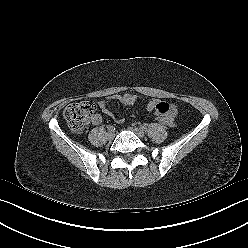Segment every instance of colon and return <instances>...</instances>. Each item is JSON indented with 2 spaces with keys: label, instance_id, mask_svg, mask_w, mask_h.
Segmentation results:
<instances>
[{
  "label": "colon",
  "instance_id": "obj_1",
  "mask_svg": "<svg viewBox=\"0 0 248 248\" xmlns=\"http://www.w3.org/2000/svg\"><path fill=\"white\" fill-rule=\"evenodd\" d=\"M95 105L91 101H80L71 103L64 109L63 116L70 130L74 133H82L88 126L93 114ZM156 121L162 125H169L168 119L158 115Z\"/></svg>",
  "mask_w": 248,
  "mask_h": 248
}]
</instances>
